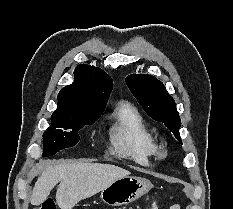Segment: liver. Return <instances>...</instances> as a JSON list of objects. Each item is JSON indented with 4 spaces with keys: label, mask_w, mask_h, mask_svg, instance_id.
I'll use <instances>...</instances> for the list:
<instances>
[{
    "label": "liver",
    "mask_w": 233,
    "mask_h": 209,
    "mask_svg": "<svg viewBox=\"0 0 233 209\" xmlns=\"http://www.w3.org/2000/svg\"><path fill=\"white\" fill-rule=\"evenodd\" d=\"M130 175L128 170L112 164L72 162L49 166L37 179L30 203L42 204L60 182L56 202L60 209H72L83 199L99 193L115 180Z\"/></svg>",
    "instance_id": "1"
}]
</instances>
